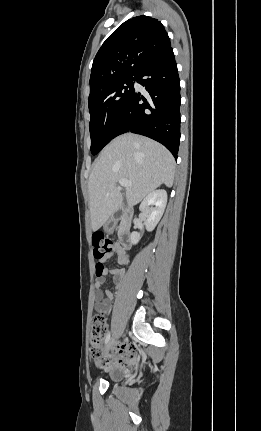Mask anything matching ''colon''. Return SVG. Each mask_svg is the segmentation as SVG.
<instances>
[{"label": "colon", "instance_id": "1", "mask_svg": "<svg viewBox=\"0 0 261 431\" xmlns=\"http://www.w3.org/2000/svg\"><path fill=\"white\" fill-rule=\"evenodd\" d=\"M94 247V256L99 261L96 264V276L103 273L104 265L102 263L112 252L113 242L103 234H94L92 237ZM106 331V320L103 315H95L91 322L90 353L94 360L102 357V341ZM120 362L129 360L133 356V349L129 345H122L119 349Z\"/></svg>", "mask_w": 261, "mask_h": 431}]
</instances>
